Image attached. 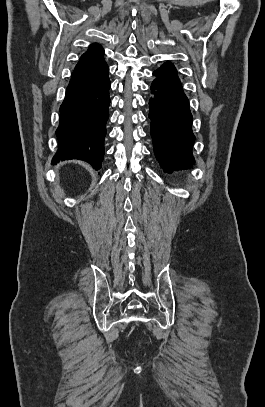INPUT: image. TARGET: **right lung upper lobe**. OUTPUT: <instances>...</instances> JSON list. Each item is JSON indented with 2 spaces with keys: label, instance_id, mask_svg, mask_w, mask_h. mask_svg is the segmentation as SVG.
<instances>
[{
  "label": "right lung upper lobe",
  "instance_id": "1",
  "mask_svg": "<svg viewBox=\"0 0 265 407\" xmlns=\"http://www.w3.org/2000/svg\"><path fill=\"white\" fill-rule=\"evenodd\" d=\"M101 52H104L101 45L94 43V44L89 46L88 51L85 52L82 56H94V55L99 54Z\"/></svg>",
  "mask_w": 265,
  "mask_h": 407
}]
</instances>
